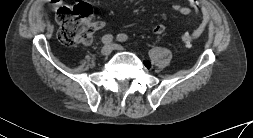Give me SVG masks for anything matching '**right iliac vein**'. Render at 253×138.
<instances>
[{"mask_svg":"<svg viewBox=\"0 0 253 138\" xmlns=\"http://www.w3.org/2000/svg\"><path fill=\"white\" fill-rule=\"evenodd\" d=\"M112 50H113L112 45L111 44H107V45L103 46V48L101 49V54L103 56H108V55L111 54Z\"/></svg>","mask_w":253,"mask_h":138,"instance_id":"right-iliac-vein-1","label":"right iliac vein"}]
</instances>
